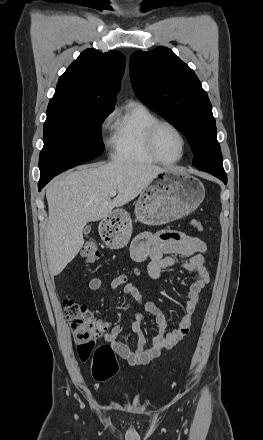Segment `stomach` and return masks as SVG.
<instances>
[{
	"label": "stomach",
	"mask_w": 263,
	"mask_h": 440,
	"mask_svg": "<svg viewBox=\"0 0 263 440\" xmlns=\"http://www.w3.org/2000/svg\"><path fill=\"white\" fill-rule=\"evenodd\" d=\"M205 188L196 177L177 170L156 176L135 202L136 219L147 225H162L183 218L202 203ZM99 232L107 246L120 249L132 234V221L125 210H116L104 218Z\"/></svg>",
	"instance_id": "stomach-1"
}]
</instances>
